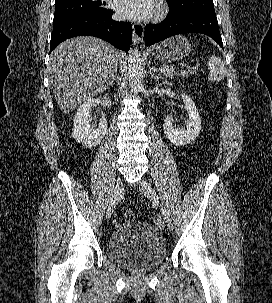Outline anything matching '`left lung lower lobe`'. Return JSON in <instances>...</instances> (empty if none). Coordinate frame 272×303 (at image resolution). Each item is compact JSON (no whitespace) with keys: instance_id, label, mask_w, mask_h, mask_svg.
Segmentation results:
<instances>
[{"instance_id":"obj_1","label":"left lung lower lobe","mask_w":272,"mask_h":303,"mask_svg":"<svg viewBox=\"0 0 272 303\" xmlns=\"http://www.w3.org/2000/svg\"><path fill=\"white\" fill-rule=\"evenodd\" d=\"M183 33L208 35L223 48L215 12H189L178 16H168L157 25L149 24L145 26V44L149 46Z\"/></svg>"}]
</instances>
